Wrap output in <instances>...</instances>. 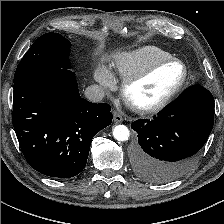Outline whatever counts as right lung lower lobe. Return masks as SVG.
<instances>
[{
  "label": "right lung lower lobe",
  "mask_w": 224,
  "mask_h": 224,
  "mask_svg": "<svg viewBox=\"0 0 224 224\" xmlns=\"http://www.w3.org/2000/svg\"><path fill=\"white\" fill-rule=\"evenodd\" d=\"M111 107L80 97L75 73L43 69L14 87L12 123L36 171L70 178L85 167L92 138L112 122Z\"/></svg>",
  "instance_id": "right-lung-lower-lobe-1"
}]
</instances>
